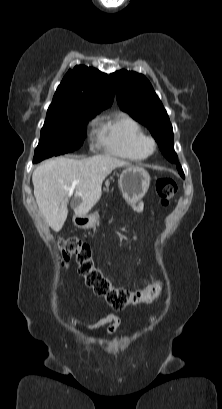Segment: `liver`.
Instances as JSON below:
<instances>
[{"mask_svg":"<svg viewBox=\"0 0 222 409\" xmlns=\"http://www.w3.org/2000/svg\"><path fill=\"white\" fill-rule=\"evenodd\" d=\"M130 166L110 155H95L85 159L57 157L39 165L32 174L34 196L47 224L59 232L68 215L69 191L75 186L74 212L87 214L100 200L104 179L117 167Z\"/></svg>","mask_w":222,"mask_h":409,"instance_id":"obj_1","label":"liver"}]
</instances>
